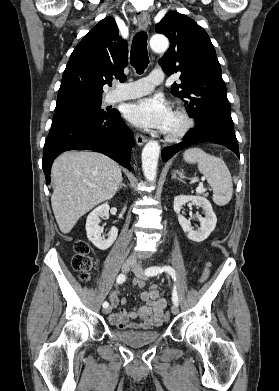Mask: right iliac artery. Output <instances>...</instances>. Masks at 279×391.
Here are the masks:
<instances>
[{"label": "right iliac artery", "mask_w": 279, "mask_h": 391, "mask_svg": "<svg viewBox=\"0 0 279 391\" xmlns=\"http://www.w3.org/2000/svg\"><path fill=\"white\" fill-rule=\"evenodd\" d=\"M116 281H117L118 284H122L125 281V275H123V274L118 275ZM108 306H109V303L107 301H105L103 303V307L106 308Z\"/></svg>", "instance_id": "obj_1"}]
</instances>
